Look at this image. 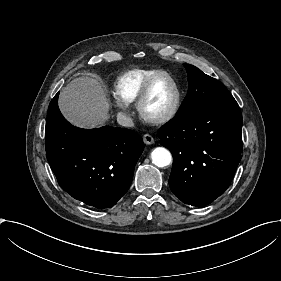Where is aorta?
Returning a JSON list of instances; mask_svg holds the SVG:
<instances>
[{"label": "aorta", "instance_id": "obj_1", "mask_svg": "<svg viewBox=\"0 0 281 281\" xmlns=\"http://www.w3.org/2000/svg\"><path fill=\"white\" fill-rule=\"evenodd\" d=\"M152 163L157 167H165L172 161V155L164 147H157L151 153Z\"/></svg>", "mask_w": 281, "mask_h": 281}]
</instances>
